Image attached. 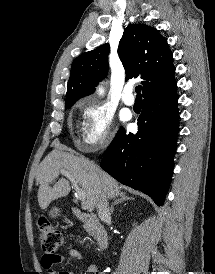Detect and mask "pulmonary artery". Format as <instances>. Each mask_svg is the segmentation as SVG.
<instances>
[{"mask_svg": "<svg viewBox=\"0 0 215 274\" xmlns=\"http://www.w3.org/2000/svg\"><path fill=\"white\" fill-rule=\"evenodd\" d=\"M132 90H133V88L131 85H126L123 89L122 101L125 105L133 106L135 103V98L132 94Z\"/></svg>", "mask_w": 215, "mask_h": 274, "instance_id": "pulmonary-artery-1", "label": "pulmonary artery"}]
</instances>
